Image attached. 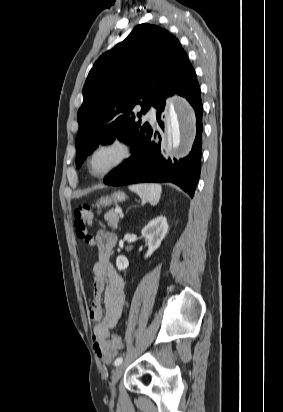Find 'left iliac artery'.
Here are the masks:
<instances>
[{
    "label": "left iliac artery",
    "mask_w": 283,
    "mask_h": 412,
    "mask_svg": "<svg viewBox=\"0 0 283 412\" xmlns=\"http://www.w3.org/2000/svg\"><path fill=\"white\" fill-rule=\"evenodd\" d=\"M122 361H123V358H122V357H118V358L115 360L114 365H115V366H118V365H120V364L122 363Z\"/></svg>",
    "instance_id": "left-iliac-artery-1"
}]
</instances>
